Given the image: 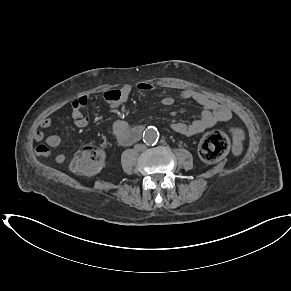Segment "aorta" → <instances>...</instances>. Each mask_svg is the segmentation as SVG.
Masks as SVG:
<instances>
[{
  "instance_id": "1",
  "label": "aorta",
  "mask_w": 291,
  "mask_h": 291,
  "mask_svg": "<svg viewBox=\"0 0 291 291\" xmlns=\"http://www.w3.org/2000/svg\"><path fill=\"white\" fill-rule=\"evenodd\" d=\"M159 138V132L155 127H148L143 133V140L147 145H152L157 142Z\"/></svg>"
}]
</instances>
